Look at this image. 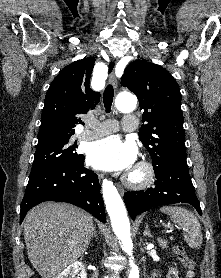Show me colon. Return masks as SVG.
I'll return each mask as SVG.
<instances>
[{"label": "colon", "mask_w": 221, "mask_h": 278, "mask_svg": "<svg viewBox=\"0 0 221 278\" xmlns=\"http://www.w3.org/2000/svg\"><path fill=\"white\" fill-rule=\"evenodd\" d=\"M174 252L186 270L185 278H195L196 276V263L187 254L186 249L182 245H175Z\"/></svg>", "instance_id": "colon-1"}]
</instances>
